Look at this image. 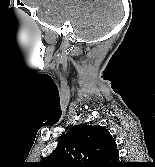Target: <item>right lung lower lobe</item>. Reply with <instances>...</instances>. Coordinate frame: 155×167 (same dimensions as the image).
Returning a JSON list of instances; mask_svg holds the SVG:
<instances>
[{
	"label": "right lung lower lobe",
	"mask_w": 155,
	"mask_h": 167,
	"mask_svg": "<svg viewBox=\"0 0 155 167\" xmlns=\"http://www.w3.org/2000/svg\"><path fill=\"white\" fill-rule=\"evenodd\" d=\"M126 166L124 163H119L118 165H116L115 167H124Z\"/></svg>",
	"instance_id": "98d812e1"
}]
</instances>
